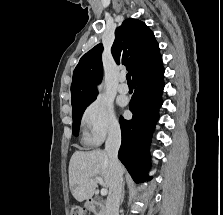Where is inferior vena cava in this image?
<instances>
[{"mask_svg":"<svg viewBox=\"0 0 223 215\" xmlns=\"http://www.w3.org/2000/svg\"><path fill=\"white\" fill-rule=\"evenodd\" d=\"M120 143L121 131L119 127H112L105 143V149L110 159V171L112 175V183L109 187V193L106 199L105 215H119L118 209L123 181L122 165L117 157Z\"/></svg>","mask_w":223,"mask_h":215,"instance_id":"1","label":"inferior vena cava"}]
</instances>
